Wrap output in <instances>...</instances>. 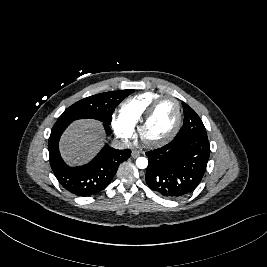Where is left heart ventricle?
I'll return each instance as SVG.
<instances>
[{
	"label": "left heart ventricle",
	"mask_w": 267,
	"mask_h": 267,
	"mask_svg": "<svg viewBox=\"0 0 267 267\" xmlns=\"http://www.w3.org/2000/svg\"><path fill=\"white\" fill-rule=\"evenodd\" d=\"M177 120V107L174 101L167 99L156 108L146 124L143 136L147 140H157L171 132Z\"/></svg>",
	"instance_id": "obj_1"
}]
</instances>
